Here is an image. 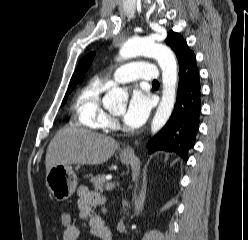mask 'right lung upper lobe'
<instances>
[{
	"mask_svg": "<svg viewBox=\"0 0 248 240\" xmlns=\"http://www.w3.org/2000/svg\"><path fill=\"white\" fill-rule=\"evenodd\" d=\"M95 56V52H92L86 55L78 64L70 82L76 81L79 82L84 77L87 72L93 58Z\"/></svg>",
	"mask_w": 248,
	"mask_h": 240,
	"instance_id": "cb5924a9",
	"label": "right lung upper lobe"
}]
</instances>
